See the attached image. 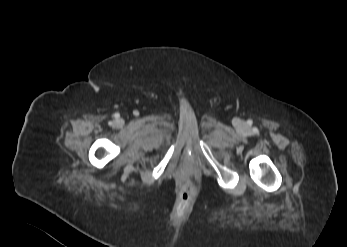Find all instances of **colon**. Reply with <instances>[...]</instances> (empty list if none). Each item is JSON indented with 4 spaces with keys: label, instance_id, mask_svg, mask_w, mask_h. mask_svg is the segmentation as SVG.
<instances>
[{
    "label": "colon",
    "instance_id": "1",
    "mask_svg": "<svg viewBox=\"0 0 347 247\" xmlns=\"http://www.w3.org/2000/svg\"><path fill=\"white\" fill-rule=\"evenodd\" d=\"M187 191L193 193L192 187L190 185L187 186Z\"/></svg>",
    "mask_w": 347,
    "mask_h": 247
}]
</instances>
